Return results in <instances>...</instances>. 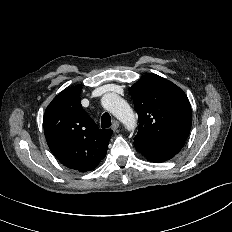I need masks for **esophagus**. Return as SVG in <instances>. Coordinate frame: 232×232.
Segmentation results:
<instances>
[{"label":"esophagus","instance_id":"obj_1","mask_svg":"<svg viewBox=\"0 0 232 232\" xmlns=\"http://www.w3.org/2000/svg\"><path fill=\"white\" fill-rule=\"evenodd\" d=\"M118 127H119V122L118 121H114L113 124H112L111 129L113 131H116L118 129Z\"/></svg>","mask_w":232,"mask_h":232}]
</instances>
